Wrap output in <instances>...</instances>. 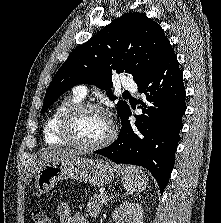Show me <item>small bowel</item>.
Masks as SVG:
<instances>
[{"label":"small bowel","instance_id":"c3829d8e","mask_svg":"<svg viewBox=\"0 0 221 223\" xmlns=\"http://www.w3.org/2000/svg\"><path fill=\"white\" fill-rule=\"evenodd\" d=\"M57 215L60 223H89L82 215L72 214L70 206L66 202L58 205Z\"/></svg>","mask_w":221,"mask_h":223}]
</instances>
